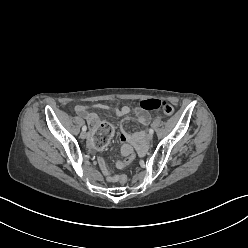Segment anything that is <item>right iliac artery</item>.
I'll return each mask as SVG.
<instances>
[{
  "mask_svg": "<svg viewBox=\"0 0 248 248\" xmlns=\"http://www.w3.org/2000/svg\"><path fill=\"white\" fill-rule=\"evenodd\" d=\"M87 130V127L86 126H83L82 127V131H86Z\"/></svg>",
  "mask_w": 248,
  "mask_h": 248,
  "instance_id": "1",
  "label": "right iliac artery"
}]
</instances>
